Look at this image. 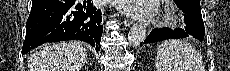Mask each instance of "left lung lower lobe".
<instances>
[{
    "label": "left lung lower lobe",
    "mask_w": 230,
    "mask_h": 71,
    "mask_svg": "<svg viewBox=\"0 0 230 71\" xmlns=\"http://www.w3.org/2000/svg\"><path fill=\"white\" fill-rule=\"evenodd\" d=\"M183 11L186 27L178 30L155 29L151 31L144 43H154L165 39L197 38L203 40L205 34L200 5L186 1L177 4Z\"/></svg>",
    "instance_id": "0a47b994"
}]
</instances>
